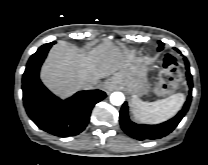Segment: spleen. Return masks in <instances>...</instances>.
I'll return each mask as SVG.
<instances>
[{"label": "spleen", "instance_id": "3e777b00", "mask_svg": "<svg viewBox=\"0 0 208 165\" xmlns=\"http://www.w3.org/2000/svg\"><path fill=\"white\" fill-rule=\"evenodd\" d=\"M184 101L185 97L182 93L155 102H143L137 96H133L131 110L138 122L157 124L175 116Z\"/></svg>", "mask_w": 208, "mask_h": 165}]
</instances>
